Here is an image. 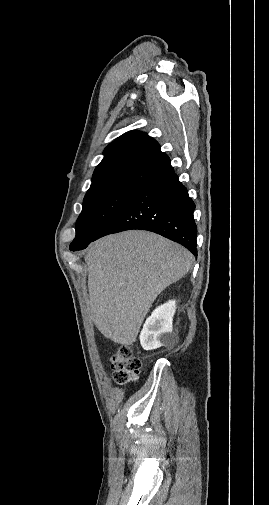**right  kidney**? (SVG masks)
Instances as JSON below:
<instances>
[{
	"label": "right kidney",
	"mask_w": 269,
	"mask_h": 505,
	"mask_svg": "<svg viewBox=\"0 0 269 505\" xmlns=\"http://www.w3.org/2000/svg\"><path fill=\"white\" fill-rule=\"evenodd\" d=\"M175 311L173 300L156 308L147 318L140 334V343L145 350L156 349L173 339L172 322Z\"/></svg>",
	"instance_id": "1"
}]
</instances>
